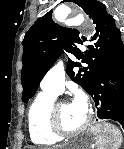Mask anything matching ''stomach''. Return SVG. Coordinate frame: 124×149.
Returning <instances> with one entry per match:
<instances>
[{
    "label": "stomach",
    "mask_w": 124,
    "mask_h": 149,
    "mask_svg": "<svg viewBox=\"0 0 124 149\" xmlns=\"http://www.w3.org/2000/svg\"><path fill=\"white\" fill-rule=\"evenodd\" d=\"M100 125V124H99ZM96 125L95 127H92L90 130L85 132L84 134L78 136L71 147L66 149H93L92 147L97 142V136L95 129L99 126ZM122 136H118V139H120Z\"/></svg>",
    "instance_id": "stomach-1"
}]
</instances>
